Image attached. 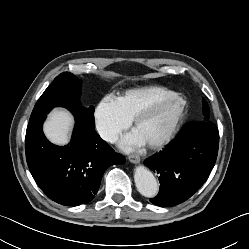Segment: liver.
<instances>
[{"label": "liver", "instance_id": "6515ba94", "mask_svg": "<svg viewBox=\"0 0 249 249\" xmlns=\"http://www.w3.org/2000/svg\"><path fill=\"white\" fill-rule=\"evenodd\" d=\"M74 123L73 116L66 110H53L44 124V132L47 138L58 145L69 142V134Z\"/></svg>", "mask_w": 249, "mask_h": 249}]
</instances>
